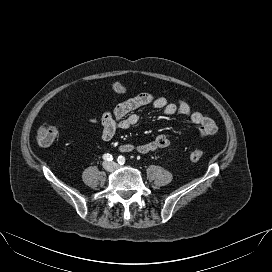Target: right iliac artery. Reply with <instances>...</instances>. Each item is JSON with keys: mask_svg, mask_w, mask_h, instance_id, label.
<instances>
[{"mask_svg": "<svg viewBox=\"0 0 272 272\" xmlns=\"http://www.w3.org/2000/svg\"><path fill=\"white\" fill-rule=\"evenodd\" d=\"M103 159L105 161H112L113 160V156L111 154H109V153H106V154L103 155Z\"/></svg>", "mask_w": 272, "mask_h": 272, "instance_id": "82829eb1", "label": "right iliac artery"}]
</instances>
